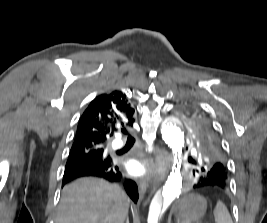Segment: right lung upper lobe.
Instances as JSON below:
<instances>
[{
  "mask_svg": "<svg viewBox=\"0 0 267 223\" xmlns=\"http://www.w3.org/2000/svg\"><path fill=\"white\" fill-rule=\"evenodd\" d=\"M134 109L121 91L97 96L82 114L71 149L93 145L105 149L106 142L121 127H132ZM123 130V129H121Z\"/></svg>",
  "mask_w": 267,
  "mask_h": 223,
  "instance_id": "cb5924a9",
  "label": "right lung upper lobe"
}]
</instances>
